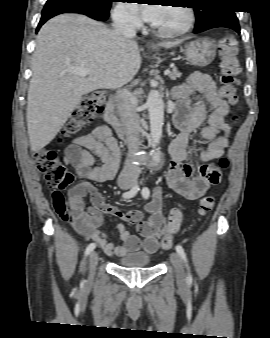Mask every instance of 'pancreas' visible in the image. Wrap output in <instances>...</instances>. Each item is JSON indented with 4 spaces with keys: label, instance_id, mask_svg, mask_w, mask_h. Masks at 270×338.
<instances>
[{
    "label": "pancreas",
    "instance_id": "pancreas-1",
    "mask_svg": "<svg viewBox=\"0 0 270 338\" xmlns=\"http://www.w3.org/2000/svg\"><path fill=\"white\" fill-rule=\"evenodd\" d=\"M181 72L178 71L176 68H173V70L169 73V78L171 80H176L177 78L181 77Z\"/></svg>",
    "mask_w": 270,
    "mask_h": 338
}]
</instances>
